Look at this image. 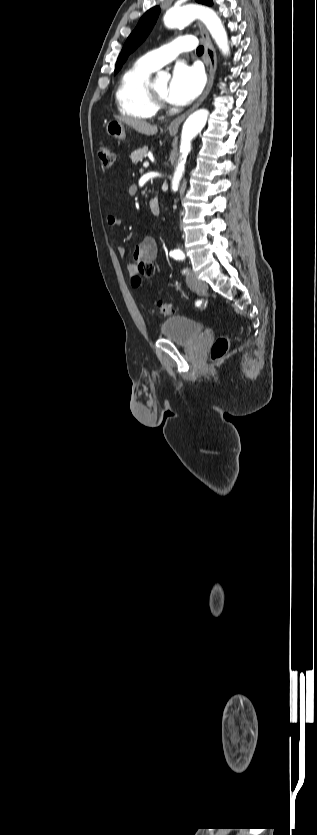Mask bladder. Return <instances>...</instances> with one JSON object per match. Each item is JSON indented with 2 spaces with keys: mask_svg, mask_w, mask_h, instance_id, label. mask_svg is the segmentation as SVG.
I'll return each instance as SVG.
<instances>
[{
  "mask_svg": "<svg viewBox=\"0 0 317 835\" xmlns=\"http://www.w3.org/2000/svg\"><path fill=\"white\" fill-rule=\"evenodd\" d=\"M204 326L185 316H170L160 326L162 338L178 345H189L202 336Z\"/></svg>",
  "mask_w": 317,
  "mask_h": 835,
  "instance_id": "bladder-1",
  "label": "bladder"
}]
</instances>
